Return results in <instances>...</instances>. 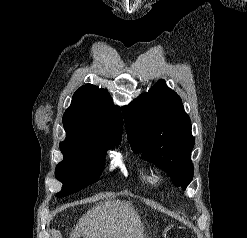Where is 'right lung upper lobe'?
<instances>
[{
    "label": "right lung upper lobe",
    "instance_id": "1",
    "mask_svg": "<svg viewBox=\"0 0 247 238\" xmlns=\"http://www.w3.org/2000/svg\"><path fill=\"white\" fill-rule=\"evenodd\" d=\"M63 126L65 140L110 145L120 143L123 119L106 90L87 84L73 95L63 115Z\"/></svg>",
    "mask_w": 247,
    "mask_h": 238
}]
</instances>
